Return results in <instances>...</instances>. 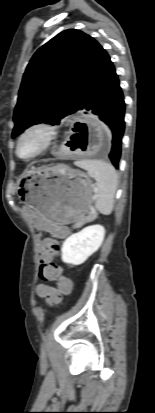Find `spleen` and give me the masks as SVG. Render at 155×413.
<instances>
[{"mask_svg": "<svg viewBox=\"0 0 155 413\" xmlns=\"http://www.w3.org/2000/svg\"><path fill=\"white\" fill-rule=\"evenodd\" d=\"M75 165L86 170L95 180L96 209L103 215H110L114 207L117 190V173L108 162L101 160H80Z\"/></svg>", "mask_w": 155, "mask_h": 413, "instance_id": "spleen-1", "label": "spleen"}]
</instances>
